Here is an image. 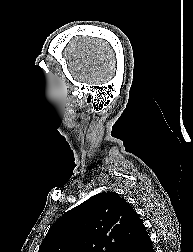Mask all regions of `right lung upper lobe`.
I'll list each match as a JSON object with an SVG mask.
<instances>
[{
	"label": "right lung upper lobe",
	"mask_w": 193,
	"mask_h": 252,
	"mask_svg": "<svg viewBox=\"0 0 193 252\" xmlns=\"http://www.w3.org/2000/svg\"><path fill=\"white\" fill-rule=\"evenodd\" d=\"M144 230L125 199L115 192H103L59 218L39 252H128Z\"/></svg>",
	"instance_id": "obj_1"
}]
</instances>
